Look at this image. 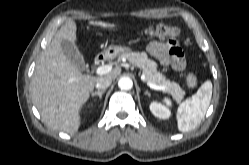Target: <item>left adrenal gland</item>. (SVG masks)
I'll return each mask as SVG.
<instances>
[{
	"label": "left adrenal gland",
	"mask_w": 249,
	"mask_h": 165,
	"mask_svg": "<svg viewBox=\"0 0 249 165\" xmlns=\"http://www.w3.org/2000/svg\"><path fill=\"white\" fill-rule=\"evenodd\" d=\"M145 94H147L148 96H150V93L148 92V90H146Z\"/></svg>",
	"instance_id": "obj_1"
}]
</instances>
